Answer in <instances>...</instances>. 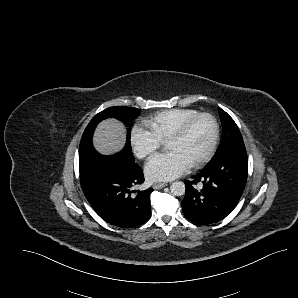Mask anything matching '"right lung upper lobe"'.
Here are the masks:
<instances>
[{
  "label": "right lung upper lobe",
  "mask_w": 298,
  "mask_h": 298,
  "mask_svg": "<svg viewBox=\"0 0 298 298\" xmlns=\"http://www.w3.org/2000/svg\"><path fill=\"white\" fill-rule=\"evenodd\" d=\"M116 155H117V154H116ZM117 156H118V155H117ZM119 158H120V157H119ZM96 160H97V158L95 159V161H96ZM95 161H94V162H95Z\"/></svg>",
  "instance_id": "right-lung-upper-lobe-1"
}]
</instances>
